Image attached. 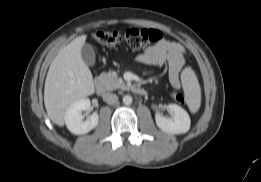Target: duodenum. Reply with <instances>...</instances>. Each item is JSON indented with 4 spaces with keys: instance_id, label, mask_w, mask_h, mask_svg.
Returning a JSON list of instances; mask_svg holds the SVG:
<instances>
[{
    "instance_id": "duodenum-1",
    "label": "duodenum",
    "mask_w": 261,
    "mask_h": 182,
    "mask_svg": "<svg viewBox=\"0 0 261 182\" xmlns=\"http://www.w3.org/2000/svg\"><path fill=\"white\" fill-rule=\"evenodd\" d=\"M131 90L133 93L140 95V96H144L147 93L144 88H141L139 86H132ZM96 92L99 95H102L105 93V85L101 80H97V82H96Z\"/></svg>"
}]
</instances>
